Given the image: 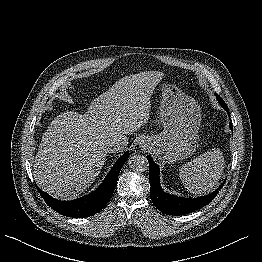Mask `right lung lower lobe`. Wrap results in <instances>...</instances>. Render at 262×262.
<instances>
[{
	"label": "right lung lower lobe",
	"instance_id": "1",
	"mask_svg": "<svg viewBox=\"0 0 262 262\" xmlns=\"http://www.w3.org/2000/svg\"><path fill=\"white\" fill-rule=\"evenodd\" d=\"M128 157L129 152L127 151L116 161L103 183L95 191L78 199L60 201L52 198L38 187L37 189L49 207L61 215L73 218L92 216L103 209L111 199L120 170Z\"/></svg>",
	"mask_w": 262,
	"mask_h": 262
}]
</instances>
